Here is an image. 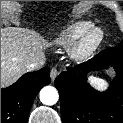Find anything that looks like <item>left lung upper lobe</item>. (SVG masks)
<instances>
[{"mask_svg": "<svg viewBox=\"0 0 123 123\" xmlns=\"http://www.w3.org/2000/svg\"><path fill=\"white\" fill-rule=\"evenodd\" d=\"M119 47H123V41H121V43H120Z\"/></svg>", "mask_w": 123, "mask_h": 123, "instance_id": "obj_1", "label": "left lung upper lobe"}]
</instances>
